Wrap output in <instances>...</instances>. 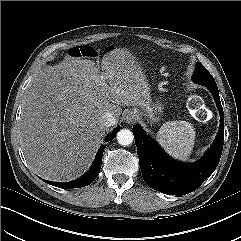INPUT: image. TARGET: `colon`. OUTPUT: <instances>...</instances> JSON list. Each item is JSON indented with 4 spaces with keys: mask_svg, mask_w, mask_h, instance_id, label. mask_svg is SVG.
<instances>
[{
    "mask_svg": "<svg viewBox=\"0 0 241 241\" xmlns=\"http://www.w3.org/2000/svg\"><path fill=\"white\" fill-rule=\"evenodd\" d=\"M74 56L84 55L92 56L94 51L90 47H78L71 50ZM188 108L193 112L194 116L199 120H207L209 118V111L203 103V100L198 95H192L188 100Z\"/></svg>",
    "mask_w": 241,
    "mask_h": 241,
    "instance_id": "colon-1",
    "label": "colon"
}]
</instances>
